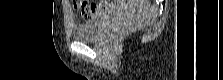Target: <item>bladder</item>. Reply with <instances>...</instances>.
<instances>
[{
  "label": "bladder",
  "mask_w": 223,
  "mask_h": 80,
  "mask_svg": "<svg viewBox=\"0 0 223 80\" xmlns=\"http://www.w3.org/2000/svg\"><path fill=\"white\" fill-rule=\"evenodd\" d=\"M112 14L113 12L106 13L98 21L75 25L72 29L73 38L77 41H97L103 33L105 22Z\"/></svg>",
  "instance_id": "bladder-1"
}]
</instances>
